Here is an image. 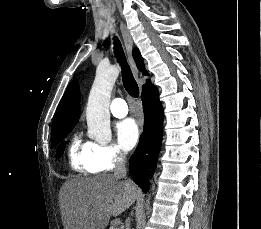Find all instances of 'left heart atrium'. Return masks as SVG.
I'll return each mask as SVG.
<instances>
[{
	"instance_id": "obj_1",
	"label": "left heart atrium",
	"mask_w": 261,
	"mask_h": 229,
	"mask_svg": "<svg viewBox=\"0 0 261 229\" xmlns=\"http://www.w3.org/2000/svg\"><path fill=\"white\" fill-rule=\"evenodd\" d=\"M116 134L121 147L128 151L138 143L140 131L133 119H126L117 124Z\"/></svg>"
}]
</instances>
